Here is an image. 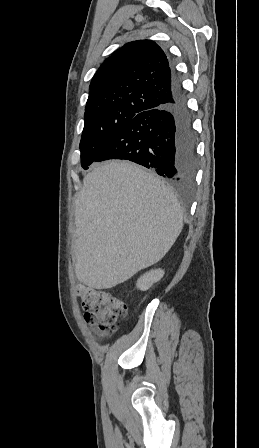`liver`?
<instances>
[{
    "mask_svg": "<svg viewBox=\"0 0 259 448\" xmlns=\"http://www.w3.org/2000/svg\"><path fill=\"white\" fill-rule=\"evenodd\" d=\"M74 216L76 278L95 290L162 260L183 228L172 190L126 160H109L84 176Z\"/></svg>",
    "mask_w": 259,
    "mask_h": 448,
    "instance_id": "liver-1",
    "label": "liver"
}]
</instances>
